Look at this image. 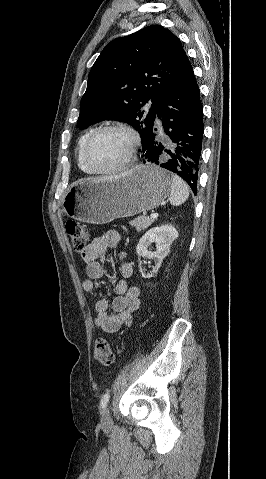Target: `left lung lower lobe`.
Here are the masks:
<instances>
[{"label":"left lung lower lobe","instance_id":"1","mask_svg":"<svg viewBox=\"0 0 266 479\" xmlns=\"http://www.w3.org/2000/svg\"><path fill=\"white\" fill-rule=\"evenodd\" d=\"M154 127L145 148L144 163L172 171L197 193V180L204 132L203 107L192 66L161 102Z\"/></svg>","mask_w":266,"mask_h":479}]
</instances>
